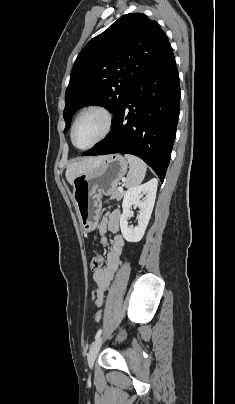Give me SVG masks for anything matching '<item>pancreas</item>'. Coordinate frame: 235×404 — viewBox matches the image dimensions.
<instances>
[{
  "label": "pancreas",
  "mask_w": 235,
  "mask_h": 404,
  "mask_svg": "<svg viewBox=\"0 0 235 404\" xmlns=\"http://www.w3.org/2000/svg\"><path fill=\"white\" fill-rule=\"evenodd\" d=\"M123 196H124V191L115 190L111 195V199H116L117 201H119L122 199Z\"/></svg>",
  "instance_id": "pancreas-1"
}]
</instances>
